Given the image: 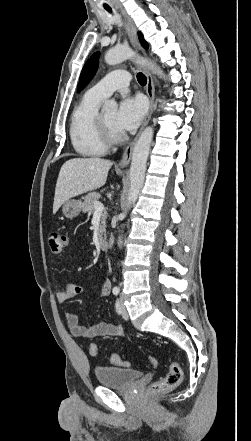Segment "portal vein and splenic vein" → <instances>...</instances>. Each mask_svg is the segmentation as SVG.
I'll return each instance as SVG.
<instances>
[{
  "label": "portal vein and splenic vein",
  "mask_w": 251,
  "mask_h": 441,
  "mask_svg": "<svg viewBox=\"0 0 251 441\" xmlns=\"http://www.w3.org/2000/svg\"><path fill=\"white\" fill-rule=\"evenodd\" d=\"M94 208H95L96 212H100V211H103L104 205L101 202L96 201V202H94Z\"/></svg>",
  "instance_id": "obj_1"
}]
</instances>
